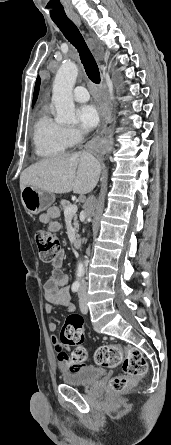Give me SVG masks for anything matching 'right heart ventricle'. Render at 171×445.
I'll return each instance as SVG.
<instances>
[{"instance_id": "1", "label": "right heart ventricle", "mask_w": 171, "mask_h": 445, "mask_svg": "<svg viewBox=\"0 0 171 445\" xmlns=\"http://www.w3.org/2000/svg\"><path fill=\"white\" fill-rule=\"evenodd\" d=\"M35 152L40 157H55L70 146L65 128L44 110L40 113L33 133Z\"/></svg>"}]
</instances>
